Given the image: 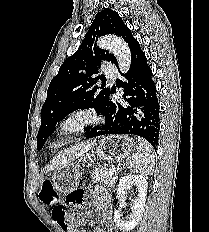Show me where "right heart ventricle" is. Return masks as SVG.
Here are the masks:
<instances>
[{"label":"right heart ventricle","instance_id":"right-heart-ventricle-1","mask_svg":"<svg viewBox=\"0 0 209 232\" xmlns=\"http://www.w3.org/2000/svg\"><path fill=\"white\" fill-rule=\"evenodd\" d=\"M54 147H55V148H58V147H60V144H59V143H56V144H54Z\"/></svg>","mask_w":209,"mask_h":232}]
</instances>
